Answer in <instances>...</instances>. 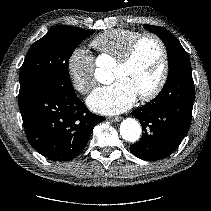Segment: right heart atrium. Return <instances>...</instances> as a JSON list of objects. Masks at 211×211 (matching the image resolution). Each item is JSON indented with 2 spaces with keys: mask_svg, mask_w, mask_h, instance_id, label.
I'll return each instance as SVG.
<instances>
[{
  "mask_svg": "<svg viewBox=\"0 0 211 211\" xmlns=\"http://www.w3.org/2000/svg\"><path fill=\"white\" fill-rule=\"evenodd\" d=\"M67 72L73 88L88 94L96 85L94 57L83 47L74 48L66 62Z\"/></svg>",
  "mask_w": 211,
  "mask_h": 211,
  "instance_id": "obj_1",
  "label": "right heart atrium"
}]
</instances>
